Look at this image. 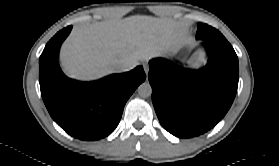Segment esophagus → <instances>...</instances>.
Here are the masks:
<instances>
[{"label":"esophagus","mask_w":279,"mask_h":166,"mask_svg":"<svg viewBox=\"0 0 279 166\" xmlns=\"http://www.w3.org/2000/svg\"><path fill=\"white\" fill-rule=\"evenodd\" d=\"M144 72L146 73V75H148V72H149V68L146 66V65H144Z\"/></svg>","instance_id":"1"}]
</instances>
